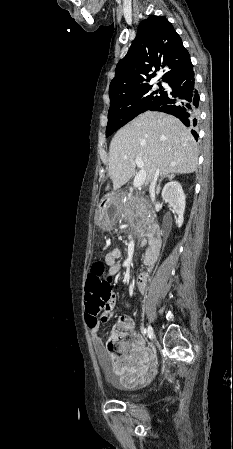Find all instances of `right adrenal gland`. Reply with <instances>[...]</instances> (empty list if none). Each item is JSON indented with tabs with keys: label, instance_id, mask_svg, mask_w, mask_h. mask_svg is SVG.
Segmentation results:
<instances>
[{
	"label": "right adrenal gland",
	"instance_id": "right-adrenal-gland-1",
	"mask_svg": "<svg viewBox=\"0 0 233 449\" xmlns=\"http://www.w3.org/2000/svg\"><path fill=\"white\" fill-rule=\"evenodd\" d=\"M165 177H167L169 180H172V179L175 177V174L167 175V176H165ZM165 177H163V178H161V179L159 180V183H158L157 188H156V194H157V195L160 193V190H161V182H162V180H163Z\"/></svg>",
	"mask_w": 233,
	"mask_h": 449
}]
</instances>
